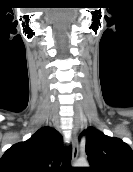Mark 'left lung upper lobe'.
Segmentation results:
<instances>
[{
    "label": "left lung upper lobe",
    "instance_id": "5c2ea615",
    "mask_svg": "<svg viewBox=\"0 0 133 172\" xmlns=\"http://www.w3.org/2000/svg\"><path fill=\"white\" fill-rule=\"evenodd\" d=\"M86 154L90 164L87 172H133V151L129 145L91 127L87 129Z\"/></svg>",
    "mask_w": 133,
    "mask_h": 172
}]
</instances>
